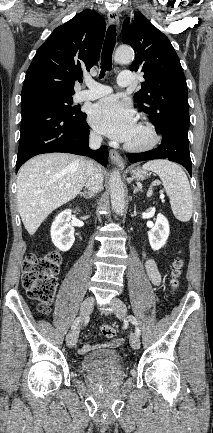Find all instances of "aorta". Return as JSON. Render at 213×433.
I'll list each match as a JSON object with an SVG mask.
<instances>
[{
	"instance_id": "762f6f07",
	"label": "aorta",
	"mask_w": 213,
	"mask_h": 433,
	"mask_svg": "<svg viewBox=\"0 0 213 433\" xmlns=\"http://www.w3.org/2000/svg\"><path fill=\"white\" fill-rule=\"evenodd\" d=\"M134 58V51L128 46L117 48L114 60L119 64H126ZM109 189L112 208L117 214H122L125 207V191L121 176L118 170H114L109 179Z\"/></svg>"
}]
</instances>
